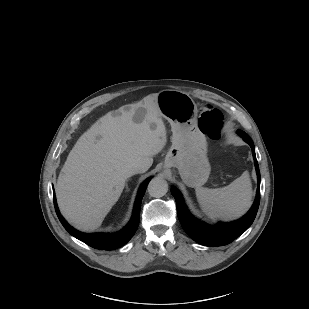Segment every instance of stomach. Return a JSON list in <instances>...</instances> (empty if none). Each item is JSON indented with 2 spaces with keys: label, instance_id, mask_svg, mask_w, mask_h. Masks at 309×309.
Masks as SVG:
<instances>
[{
  "label": "stomach",
  "instance_id": "0dacf381",
  "mask_svg": "<svg viewBox=\"0 0 309 309\" xmlns=\"http://www.w3.org/2000/svg\"><path fill=\"white\" fill-rule=\"evenodd\" d=\"M157 105L172 130L164 168H178L183 182L190 187L203 185L209 177L210 164L206 138L198 128L197 105L187 93L173 89L160 91Z\"/></svg>",
  "mask_w": 309,
  "mask_h": 309
}]
</instances>
